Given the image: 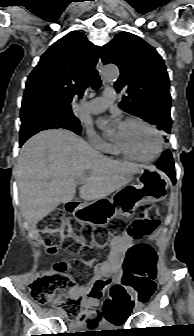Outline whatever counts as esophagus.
I'll list each match as a JSON object with an SVG mask.
<instances>
[{"label": "esophagus", "mask_w": 194, "mask_h": 336, "mask_svg": "<svg viewBox=\"0 0 194 336\" xmlns=\"http://www.w3.org/2000/svg\"><path fill=\"white\" fill-rule=\"evenodd\" d=\"M97 70L99 71V72H101L102 71V67H103V64H102V60H101V58L99 57V59H98V62H97Z\"/></svg>", "instance_id": "34e87169"}]
</instances>
